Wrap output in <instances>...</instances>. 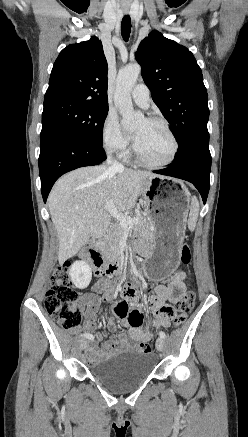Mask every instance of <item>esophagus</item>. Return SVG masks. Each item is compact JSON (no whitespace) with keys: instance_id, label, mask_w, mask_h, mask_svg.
Listing matches in <instances>:
<instances>
[{"instance_id":"obj_1","label":"esophagus","mask_w":248,"mask_h":437,"mask_svg":"<svg viewBox=\"0 0 248 437\" xmlns=\"http://www.w3.org/2000/svg\"><path fill=\"white\" fill-rule=\"evenodd\" d=\"M125 13L127 14V13H128V10H126Z\"/></svg>"}]
</instances>
